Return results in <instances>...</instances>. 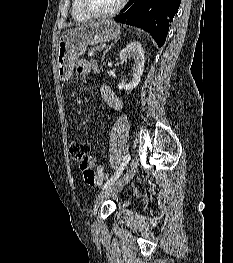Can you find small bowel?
<instances>
[{
  "instance_id": "obj_1",
  "label": "small bowel",
  "mask_w": 233,
  "mask_h": 263,
  "mask_svg": "<svg viewBox=\"0 0 233 263\" xmlns=\"http://www.w3.org/2000/svg\"><path fill=\"white\" fill-rule=\"evenodd\" d=\"M91 69H94L96 72L97 67L94 63L89 62L87 60H78L76 65H75V71L80 74V75H86L88 74ZM100 92L101 95L105 101V103L113 110L120 112L123 109V104L121 100L114 94V92L107 86V85H102L100 87ZM96 164V159L94 156H89L86 160V166L87 168L91 169L94 171V167ZM82 170V168H81ZM101 171H104V168L102 166H98L97 169L94 171L96 174V181L93 185H100L102 184L103 180L99 177V173Z\"/></svg>"
}]
</instances>
